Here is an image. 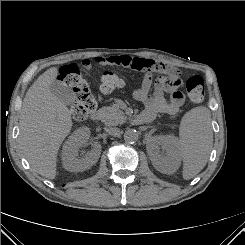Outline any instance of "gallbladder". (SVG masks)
Masks as SVG:
<instances>
[{"mask_svg": "<svg viewBox=\"0 0 245 245\" xmlns=\"http://www.w3.org/2000/svg\"><path fill=\"white\" fill-rule=\"evenodd\" d=\"M51 92L63 103L71 105L75 102L76 97L72 87L60 81H55L51 87Z\"/></svg>", "mask_w": 245, "mask_h": 245, "instance_id": "bac80fb5", "label": "gallbladder"}]
</instances>
